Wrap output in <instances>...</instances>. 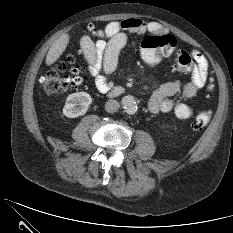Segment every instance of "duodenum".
Instances as JSON below:
<instances>
[{"mask_svg":"<svg viewBox=\"0 0 233 233\" xmlns=\"http://www.w3.org/2000/svg\"><path fill=\"white\" fill-rule=\"evenodd\" d=\"M122 93V90L120 88H114L111 92H110V96L112 97H116L119 96Z\"/></svg>","mask_w":233,"mask_h":233,"instance_id":"410a0bca","label":"duodenum"}]
</instances>
